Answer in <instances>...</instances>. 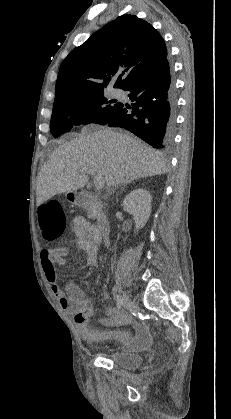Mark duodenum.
Instances as JSON below:
<instances>
[{"mask_svg": "<svg viewBox=\"0 0 231 419\" xmlns=\"http://www.w3.org/2000/svg\"><path fill=\"white\" fill-rule=\"evenodd\" d=\"M75 202L79 207H90L98 211L97 230L100 238L107 241L110 235L111 224L106 215L100 212L102 207L101 201L91 193H78L75 196Z\"/></svg>", "mask_w": 231, "mask_h": 419, "instance_id": "duodenum-1", "label": "duodenum"}]
</instances>
